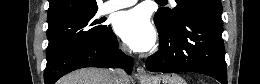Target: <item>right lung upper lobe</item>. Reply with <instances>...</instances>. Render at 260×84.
I'll use <instances>...</instances> for the list:
<instances>
[{"mask_svg": "<svg viewBox=\"0 0 260 84\" xmlns=\"http://www.w3.org/2000/svg\"><path fill=\"white\" fill-rule=\"evenodd\" d=\"M48 28L58 26L76 17L97 12L96 0H49Z\"/></svg>", "mask_w": 260, "mask_h": 84, "instance_id": "1", "label": "right lung upper lobe"}]
</instances>
